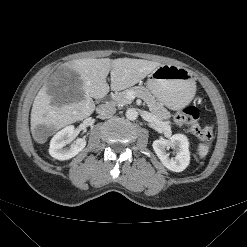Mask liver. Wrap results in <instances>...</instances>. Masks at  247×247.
Masks as SVG:
<instances>
[{
	"instance_id": "liver-1",
	"label": "liver",
	"mask_w": 247,
	"mask_h": 247,
	"mask_svg": "<svg viewBox=\"0 0 247 247\" xmlns=\"http://www.w3.org/2000/svg\"><path fill=\"white\" fill-rule=\"evenodd\" d=\"M161 64L144 59L131 58H85L64 64L79 75L80 93L76 100L57 105L43 86L37 93L31 110V129L34 132L40 126L52 131L85 119L95 110L93 98L104 97L109 89L121 91L137 84ZM110 73V87L106 78ZM37 140L41 141L39 137Z\"/></svg>"
}]
</instances>
